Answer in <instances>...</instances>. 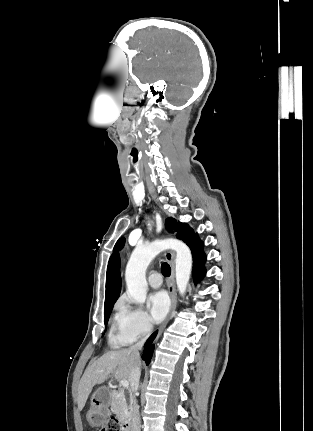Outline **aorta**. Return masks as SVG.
Wrapping results in <instances>:
<instances>
[{"label": "aorta", "instance_id": "aorta-1", "mask_svg": "<svg viewBox=\"0 0 313 431\" xmlns=\"http://www.w3.org/2000/svg\"><path fill=\"white\" fill-rule=\"evenodd\" d=\"M176 251V283L180 295H184L192 269V255L188 246L177 239L156 240L145 246H137L128 261L125 280L130 296L143 304L147 297L146 269L162 251Z\"/></svg>", "mask_w": 313, "mask_h": 431}]
</instances>
